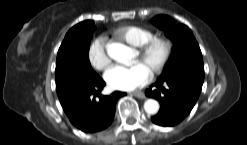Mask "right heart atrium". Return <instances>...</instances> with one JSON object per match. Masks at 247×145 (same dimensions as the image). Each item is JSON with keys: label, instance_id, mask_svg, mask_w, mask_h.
<instances>
[{"label": "right heart atrium", "instance_id": "right-heart-atrium-1", "mask_svg": "<svg viewBox=\"0 0 247 145\" xmlns=\"http://www.w3.org/2000/svg\"><path fill=\"white\" fill-rule=\"evenodd\" d=\"M106 44V38L99 36L91 42L88 48V60L97 70L106 69L111 62Z\"/></svg>", "mask_w": 247, "mask_h": 145}]
</instances>
